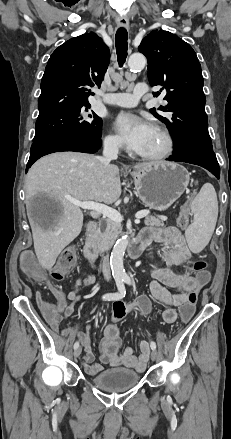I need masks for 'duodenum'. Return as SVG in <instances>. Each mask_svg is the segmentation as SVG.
<instances>
[{"label":"duodenum","mask_w":231,"mask_h":439,"mask_svg":"<svg viewBox=\"0 0 231 439\" xmlns=\"http://www.w3.org/2000/svg\"><path fill=\"white\" fill-rule=\"evenodd\" d=\"M98 225L95 221H90L87 224L85 238H84V256L93 265L96 266V262L100 255V250L96 244V233ZM147 244L141 239L137 238L128 248V254L131 258L139 257L145 250Z\"/></svg>","instance_id":"410a0bca"}]
</instances>
